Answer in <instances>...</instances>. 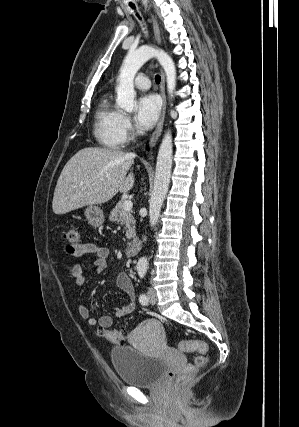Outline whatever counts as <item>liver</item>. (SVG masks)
Masks as SVG:
<instances>
[{
    "label": "liver",
    "mask_w": 299,
    "mask_h": 427,
    "mask_svg": "<svg viewBox=\"0 0 299 427\" xmlns=\"http://www.w3.org/2000/svg\"><path fill=\"white\" fill-rule=\"evenodd\" d=\"M136 155L98 147L83 148L64 166L54 191L52 208L65 214L88 205L109 201L118 192L134 185V174L127 175Z\"/></svg>",
    "instance_id": "liver-1"
}]
</instances>
